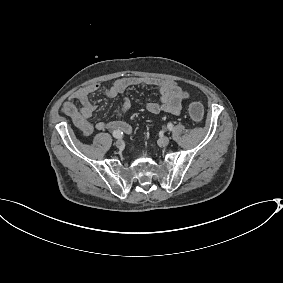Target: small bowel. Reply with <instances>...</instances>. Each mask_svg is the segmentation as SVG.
Segmentation results:
<instances>
[{
	"instance_id": "small-bowel-1",
	"label": "small bowel",
	"mask_w": 283,
	"mask_h": 283,
	"mask_svg": "<svg viewBox=\"0 0 283 283\" xmlns=\"http://www.w3.org/2000/svg\"><path fill=\"white\" fill-rule=\"evenodd\" d=\"M131 87H152L158 90L160 101L147 102L145 105L147 111L152 114L166 112L178 115L182 109L183 102L189 97V93L174 81L151 77L127 76L115 80L110 86L102 89L99 84L93 83L76 90L72 94L71 99L64 102L62 111L71 119L84 136H90L96 130H120L121 132L130 134L132 131L131 126L121 120V117L131 108V101L128 98L123 99L116 119L108 122L97 121L93 123L90 119L95 113L96 105L89 97L101 90L105 96L113 98Z\"/></svg>"
}]
</instances>
